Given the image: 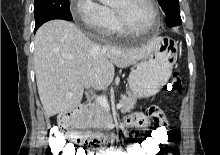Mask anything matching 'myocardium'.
<instances>
[{
	"instance_id": "1",
	"label": "myocardium",
	"mask_w": 220,
	"mask_h": 155,
	"mask_svg": "<svg viewBox=\"0 0 220 155\" xmlns=\"http://www.w3.org/2000/svg\"><path fill=\"white\" fill-rule=\"evenodd\" d=\"M150 7L151 10V22L150 24L143 29H136L129 25V23L125 20L122 13L114 8V13L117 17V20L122 27L125 33L130 34H145L152 31L159 23V11L155 0H145Z\"/></svg>"
}]
</instances>
